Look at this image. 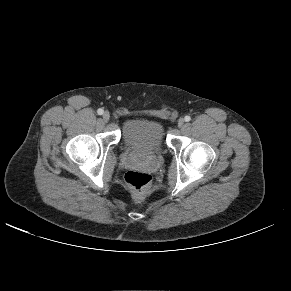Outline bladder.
I'll list each match as a JSON object with an SVG mask.
<instances>
[{"label": "bladder", "instance_id": "1", "mask_svg": "<svg viewBox=\"0 0 291 291\" xmlns=\"http://www.w3.org/2000/svg\"><path fill=\"white\" fill-rule=\"evenodd\" d=\"M124 144L134 150H158L165 142V129L161 121L152 118H133L122 129Z\"/></svg>", "mask_w": 291, "mask_h": 291}]
</instances>
